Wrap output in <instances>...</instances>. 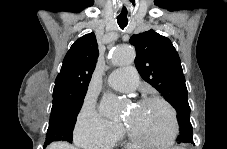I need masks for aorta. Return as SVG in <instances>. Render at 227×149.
Instances as JSON below:
<instances>
[{
	"label": "aorta",
	"mask_w": 227,
	"mask_h": 149,
	"mask_svg": "<svg viewBox=\"0 0 227 149\" xmlns=\"http://www.w3.org/2000/svg\"><path fill=\"white\" fill-rule=\"evenodd\" d=\"M135 58V51L129 46H117L112 55V62L116 66L131 64ZM100 113L106 117L120 114V102L112 93H105L99 105Z\"/></svg>",
	"instance_id": "1"
}]
</instances>
